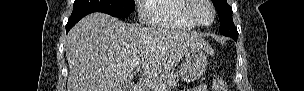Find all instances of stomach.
Instances as JSON below:
<instances>
[{
    "mask_svg": "<svg viewBox=\"0 0 304 91\" xmlns=\"http://www.w3.org/2000/svg\"><path fill=\"white\" fill-rule=\"evenodd\" d=\"M207 51L201 48L191 49L185 55V61L180 70V76L191 82L203 75L207 68Z\"/></svg>",
    "mask_w": 304,
    "mask_h": 91,
    "instance_id": "0dacf381",
    "label": "stomach"
}]
</instances>
